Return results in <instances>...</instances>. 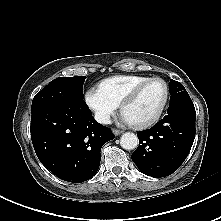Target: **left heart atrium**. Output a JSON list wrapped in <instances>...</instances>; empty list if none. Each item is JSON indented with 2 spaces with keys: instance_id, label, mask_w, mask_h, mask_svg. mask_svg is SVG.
I'll return each instance as SVG.
<instances>
[{
  "instance_id": "1",
  "label": "left heart atrium",
  "mask_w": 221,
  "mask_h": 221,
  "mask_svg": "<svg viewBox=\"0 0 221 221\" xmlns=\"http://www.w3.org/2000/svg\"><path fill=\"white\" fill-rule=\"evenodd\" d=\"M122 121L127 124H134V120L125 112L122 114Z\"/></svg>"
}]
</instances>
